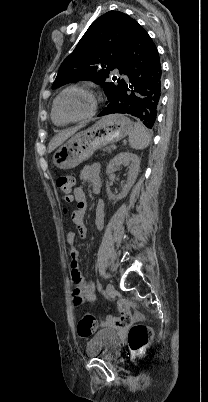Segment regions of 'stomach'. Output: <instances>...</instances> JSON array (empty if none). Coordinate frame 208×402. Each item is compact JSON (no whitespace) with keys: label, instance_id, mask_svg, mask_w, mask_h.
Segmentation results:
<instances>
[{"label":"stomach","instance_id":"0dacf381","mask_svg":"<svg viewBox=\"0 0 208 402\" xmlns=\"http://www.w3.org/2000/svg\"><path fill=\"white\" fill-rule=\"evenodd\" d=\"M133 126L124 114L103 116L92 128L79 132L53 154V164L60 170L76 168L100 148L119 142L132 132Z\"/></svg>","mask_w":208,"mask_h":402}]
</instances>
